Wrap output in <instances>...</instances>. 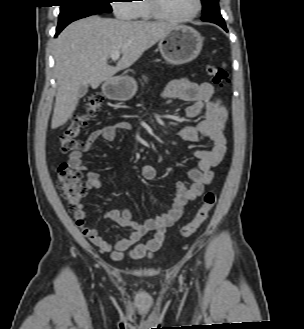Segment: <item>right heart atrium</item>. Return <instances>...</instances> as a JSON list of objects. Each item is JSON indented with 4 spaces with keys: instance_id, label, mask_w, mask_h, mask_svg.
Returning <instances> with one entry per match:
<instances>
[{
    "instance_id": "1",
    "label": "right heart atrium",
    "mask_w": 304,
    "mask_h": 329,
    "mask_svg": "<svg viewBox=\"0 0 304 329\" xmlns=\"http://www.w3.org/2000/svg\"><path fill=\"white\" fill-rule=\"evenodd\" d=\"M132 0H114L112 3L113 11L121 19H133L135 16Z\"/></svg>"
}]
</instances>
